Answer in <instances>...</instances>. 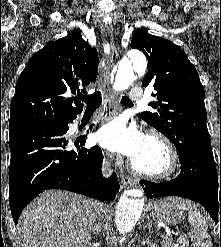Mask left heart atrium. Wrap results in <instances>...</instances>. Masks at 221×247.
Here are the masks:
<instances>
[{
	"mask_svg": "<svg viewBox=\"0 0 221 247\" xmlns=\"http://www.w3.org/2000/svg\"><path fill=\"white\" fill-rule=\"evenodd\" d=\"M146 135L135 125L122 118L103 125L96 134V140L104 148L121 153L131 160L141 150Z\"/></svg>",
	"mask_w": 221,
	"mask_h": 247,
	"instance_id": "obj_1",
	"label": "left heart atrium"
}]
</instances>
